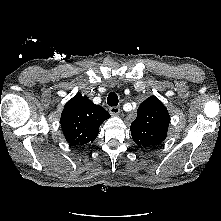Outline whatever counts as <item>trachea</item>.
I'll return each mask as SVG.
<instances>
[{
	"instance_id": "3493384b",
	"label": "trachea",
	"mask_w": 221,
	"mask_h": 221,
	"mask_svg": "<svg viewBox=\"0 0 221 221\" xmlns=\"http://www.w3.org/2000/svg\"><path fill=\"white\" fill-rule=\"evenodd\" d=\"M118 96L114 92H110L107 98V104L111 107L117 106L118 105Z\"/></svg>"
}]
</instances>
